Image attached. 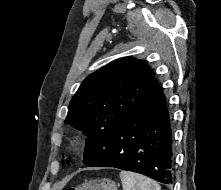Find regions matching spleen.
<instances>
[{"mask_svg": "<svg viewBox=\"0 0 221 190\" xmlns=\"http://www.w3.org/2000/svg\"><path fill=\"white\" fill-rule=\"evenodd\" d=\"M120 179L123 190H161L157 182L137 173L121 171Z\"/></svg>", "mask_w": 221, "mask_h": 190, "instance_id": "obj_1", "label": "spleen"}]
</instances>
